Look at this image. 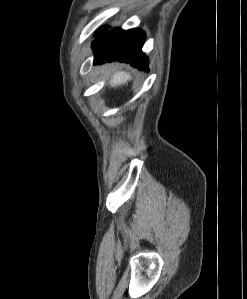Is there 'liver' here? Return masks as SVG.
<instances>
[{
  "instance_id": "liver-1",
  "label": "liver",
  "mask_w": 247,
  "mask_h": 299,
  "mask_svg": "<svg viewBox=\"0 0 247 299\" xmlns=\"http://www.w3.org/2000/svg\"><path fill=\"white\" fill-rule=\"evenodd\" d=\"M129 80H131V76L129 73L125 71H118L111 76L109 85L110 87H118L125 84L127 85Z\"/></svg>"
}]
</instances>
